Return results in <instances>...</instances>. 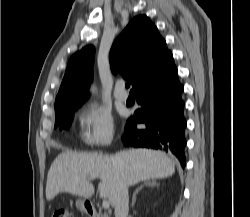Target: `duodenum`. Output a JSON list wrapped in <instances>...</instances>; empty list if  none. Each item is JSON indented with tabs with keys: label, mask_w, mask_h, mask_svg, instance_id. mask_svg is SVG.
Here are the masks:
<instances>
[{
	"label": "duodenum",
	"mask_w": 250,
	"mask_h": 217,
	"mask_svg": "<svg viewBox=\"0 0 250 217\" xmlns=\"http://www.w3.org/2000/svg\"><path fill=\"white\" fill-rule=\"evenodd\" d=\"M85 208H86V212L88 213V215H90L91 217H95L96 210L91 205L86 204Z\"/></svg>",
	"instance_id": "duodenum-1"
}]
</instances>
